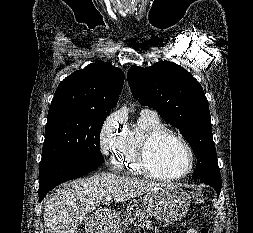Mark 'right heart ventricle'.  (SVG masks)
<instances>
[{
	"mask_svg": "<svg viewBox=\"0 0 253 233\" xmlns=\"http://www.w3.org/2000/svg\"><path fill=\"white\" fill-rule=\"evenodd\" d=\"M163 127L157 114L141 112L136 123L123 131L114 151V168L134 175H146L139 164L141 144L148 134Z\"/></svg>",
	"mask_w": 253,
	"mask_h": 233,
	"instance_id": "right-heart-ventricle-1",
	"label": "right heart ventricle"
}]
</instances>
